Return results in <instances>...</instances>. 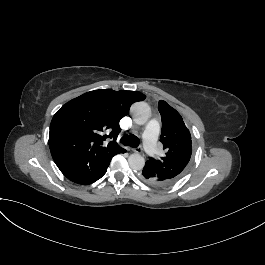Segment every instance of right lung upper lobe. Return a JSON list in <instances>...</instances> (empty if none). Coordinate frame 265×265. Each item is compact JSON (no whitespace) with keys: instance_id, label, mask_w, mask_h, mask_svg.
<instances>
[{"instance_id":"obj_1","label":"right lung upper lobe","mask_w":265,"mask_h":265,"mask_svg":"<svg viewBox=\"0 0 265 265\" xmlns=\"http://www.w3.org/2000/svg\"><path fill=\"white\" fill-rule=\"evenodd\" d=\"M145 98L136 91L105 89L87 92L63 105L53 116L49 132L50 151L60 171L78 184L100 179L112 157L125 151L116 142L119 120L134 102ZM106 138L113 140L106 145Z\"/></svg>"}]
</instances>
